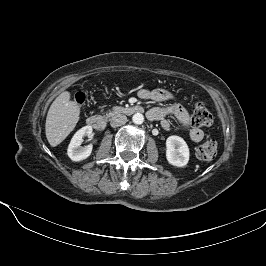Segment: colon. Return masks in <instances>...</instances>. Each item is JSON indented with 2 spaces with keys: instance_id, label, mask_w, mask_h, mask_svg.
Returning <instances> with one entry per match:
<instances>
[{
  "instance_id": "5ec220e1",
  "label": "colon",
  "mask_w": 266,
  "mask_h": 266,
  "mask_svg": "<svg viewBox=\"0 0 266 266\" xmlns=\"http://www.w3.org/2000/svg\"><path fill=\"white\" fill-rule=\"evenodd\" d=\"M75 103L81 105L85 101L83 93L78 92L74 95ZM213 118L206 106L202 102H197L194 106L192 124L195 127L209 126ZM217 154V142L214 139H207L197 148V156L202 160H211Z\"/></svg>"
}]
</instances>
